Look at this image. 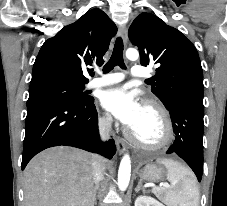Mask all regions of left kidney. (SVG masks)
Listing matches in <instances>:
<instances>
[{"label": "left kidney", "mask_w": 227, "mask_h": 206, "mask_svg": "<svg viewBox=\"0 0 227 206\" xmlns=\"http://www.w3.org/2000/svg\"><path fill=\"white\" fill-rule=\"evenodd\" d=\"M134 206H164V205L152 197L139 196L136 198Z\"/></svg>", "instance_id": "1"}]
</instances>
